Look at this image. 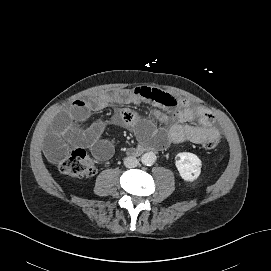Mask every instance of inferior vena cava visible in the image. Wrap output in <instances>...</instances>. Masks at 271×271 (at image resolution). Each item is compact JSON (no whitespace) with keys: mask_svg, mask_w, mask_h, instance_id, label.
Listing matches in <instances>:
<instances>
[{"mask_svg":"<svg viewBox=\"0 0 271 271\" xmlns=\"http://www.w3.org/2000/svg\"><path fill=\"white\" fill-rule=\"evenodd\" d=\"M124 165L127 168H135L139 165V161L136 157L129 156L124 159Z\"/></svg>","mask_w":271,"mask_h":271,"instance_id":"1","label":"inferior vena cava"}]
</instances>
